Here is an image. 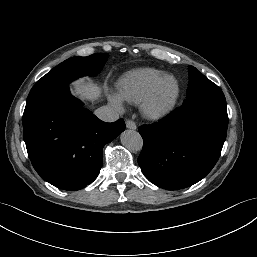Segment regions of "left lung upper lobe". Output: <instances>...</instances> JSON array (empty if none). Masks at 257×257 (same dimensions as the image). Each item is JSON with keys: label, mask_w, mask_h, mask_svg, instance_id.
Masks as SVG:
<instances>
[{"label": "left lung upper lobe", "mask_w": 257, "mask_h": 257, "mask_svg": "<svg viewBox=\"0 0 257 257\" xmlns=\"http://www.w3.org/2000/svg\"><path fill=\"white\" fill-rule=\"evenodd\" d=\"M188 70L189 82L184 103H197L208 99H225L220 88L195 67L189 66Z\"/></svg>", "instance_id": "5c2ea615"}]
</instances>
